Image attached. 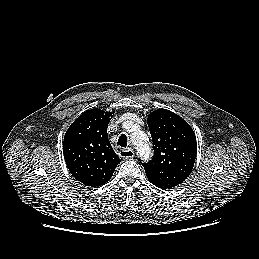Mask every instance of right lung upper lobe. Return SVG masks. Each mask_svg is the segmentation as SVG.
Returning <instances> with one entry per match:
<instances>
[{
	"instance_id": "obj_1",
	"label": "right lung upper lobe",
	"mask_w": 259,
	"mask_h": 259,
	"mask_svg": "<svg viewBox=\"0 0 259 259\" xmlns=\"http://www.w3.org/2000/svg\"><path fill=\"white\" fill-rule=\"evenodd\" d=\"M112 112L90 109L68 128L63 155L72 176L81 183L97 187L109 181L120 163L107 134Z\"/></svg>"
}]
</instances>
